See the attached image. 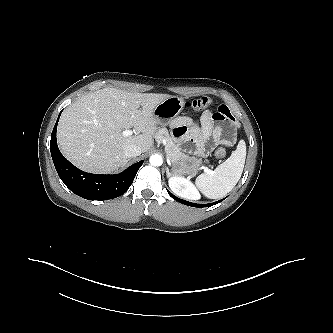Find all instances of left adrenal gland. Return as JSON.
Listing matches in <instances>:
<instances>
[{"instance_id":"a2214340","label":"left adrenal gland","mask_w":333,"mask_h":333,"mask_svg":"<svg viewBox=\"0 0 333 333\" xmlns=\"http://www.w3.org/2000/svg\"><path fill=\"white\" fill-rule=\"evenodd\" d=\"M166 175H167L168 178H169L170 175H171V173L169 172V168H168V167H166Z\"/></svg>"}]
</instances>
